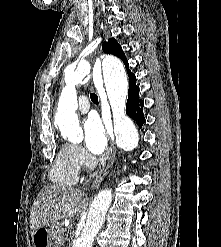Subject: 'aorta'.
<instances>
[{"instance_id": "762f6f07", "label": "aorta", "mask_w": 221, "mask_h": 247, "mask_svg": "<svg viewBox=\"0 0 221 247\" xmlns=\"http://www.w3.org/2000/svg\"><path fill=\"white\" fill-rule=\"evenodd\" d=\"M90 71L91 66L87 61H80L78 65H69L65 69L66 85L59 98L56 122L61 132L71 142H80L83 139V131L75 112L78 106L76 85L81 83ZM102 71L113 114L116 143L121 149L131 151L138 146L139 135L132 120L125 114L128 81L124 67L117 58L107 56L102 60ZM111 202V190H104L95 197L72 247H92L96 235L105 222Z\"/></svg>"}]
</instances>
